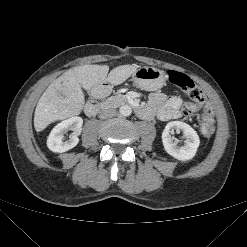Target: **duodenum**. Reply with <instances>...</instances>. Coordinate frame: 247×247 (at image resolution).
I'll return each mask as SVG.
<instances>
[{
	"label": "duodenum",
	"instance_id": "410a0bca",
	"mask_svg": "<svg viewBox=\"0 0 247 247\" xmlns=\"http://www.w3.org/2000/svg\"><path fill=\"white\" fill-rule=\"evenodd\" d=\"M110 89H111L110 84L108 82H105L95 89V93L97 95H105L110 91ZM105 108L106 107L102 105L99 102V100L91 99L90 101L86 103L84 110L88 116H95L101 110H104ZM133 109L139 117L145 118L147 116L148 110L145 109L144 107L139 106V105H134Z\"/></svg>",
	"mask_w": 247,
	"mask_h": 247
}]
</instances>
